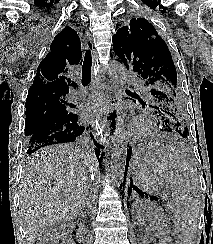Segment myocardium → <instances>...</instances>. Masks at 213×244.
Returning <instances> with one entry per match:
<instances>
[{
	"label": "myocardium",
	"mask_w": 213,
	"mask_h": 244,
	"mask_svg": "<svg viewBox=\"0 0 213 244\" xmlns=\"http://www.w3.org/2000/svg\"><path fill=\"white\" fill-rule=\"evenodd\" d=\"M152 124L145 117H137L129 126L127 135L133 139H141L151 133Z\"/></svg>",
	"instance_id": "myocardium-1"
}]
</instances>
